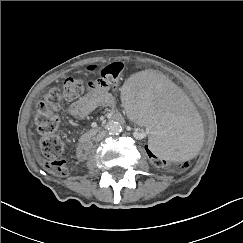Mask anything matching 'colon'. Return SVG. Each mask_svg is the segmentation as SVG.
<instances>
[{
	"instance_id": "5ec220e1",
	"label": "colon",
	"mask_w": 243,
	"mask_h": 243,
	"mask_svg": "<svg viewBox=\"0 0 243 243\" xmlns=\"http://www.w3.org/2000/svg\"><path fill=\"white\" fill-rule=\"evenodd\" d=\"M121 62H113L105 67L98 68L95 66L87 68L84 77H68L63 81L61 89H51L40 100L35 107V126L41 140L39 143L40 151L44 156V166L52 174L57 176L65 175L66 166L63 159L65 151V142L55 134L59 126V117L56 112L59 110L62 100H75L82 95L86 87L95 84L106 86H115L123 71ZM97 73L98 76L93 75ZM145 156L157 167H169L170 161L156 156L150 149L146 139L140 140ZM195 163L191 160L183 162L174 161L171 167L175 171L191 169Z\"/></svg>"
}]
</instances>
